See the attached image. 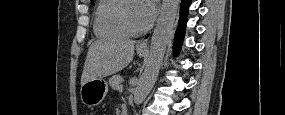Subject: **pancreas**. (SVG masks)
<instances>
[{
  "label": "pancreas",
  "instance_id": "pancreas-1",
  "mask_svg": "<svg viewBox=\"0 0 285 115\" xmlns=\"http://www.w3.org/2000/svg\"><path fill=\"white\" fill-rule=\"evenodd\" d=\"M123 82V78L120 75H114L109 78V84L112 89L117 90L120 87V84Z\"/></svg>",
  "mask_w": 285,
  "mask_h": 115
}]
</instances>
